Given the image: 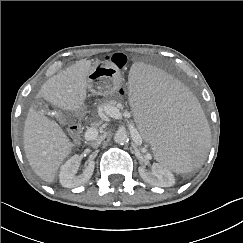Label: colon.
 Returning <instances> with one entry per match:
<instances>
[{"mask_svg": "<svg viewBox=\"0 0 243 243\" xmlns=\"http://www.w3.org/2000/svg\"><path fill=\"white\" fill-rule=\"evenodd\" d=\"M108 60L118 69H122L127 63V57L123 53H115Z\"/></svg>", "mask_w": 243, "mask_h": 243, "instance_id": "obj_1", "label": "colon"}]
</instances>
